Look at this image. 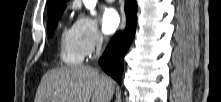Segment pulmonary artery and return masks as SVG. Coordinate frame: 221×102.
<instances>
[{"label": "pulmonary artery", "mask_w": 221, "mask_h": 102, "mask_svg": "<svg viewBox=\"0 0 221 102\" xmlns=\"http://www.w3.org/2000/svg\"><path fill=\"white\" fill-rule=\"evenodd\" d=\"M107 2H114V0H106Z\"/></svg>", "instance_id": "pulmonary-artery-1"}]
</instances>
